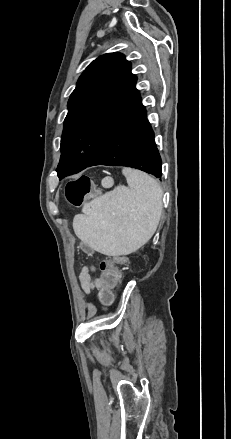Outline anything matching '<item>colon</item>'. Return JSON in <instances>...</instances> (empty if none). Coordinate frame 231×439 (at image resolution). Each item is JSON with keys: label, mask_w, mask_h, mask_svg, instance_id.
<instances>
[{"label": "colon", "mask_w": 231, "mask_h": 439, "mask_svg": "<svg viewBox=\"0 0 231 439\" xmlns=\"http://www.w3.org/2000/svg\"><path fill=\"white\" fill-rule=\"evenodd\" d=\"M92 194V182L88 176H80L77 179L70 181L66 186V199L70 205L79 207L82 203ZM87 252H90L89 248H85ZM90 257H95V252H90ZM127 262V257L124 255L115 256L112 258L104 259L100 262L99 268L101 275L99 279L105 284L99 289L96 299L103 306L112 305L116 296L113 291L116 290L117 285L120 283L119 269L120 265Z\"/></svg>", "instance_id": "obj_1"}]
</instances>
